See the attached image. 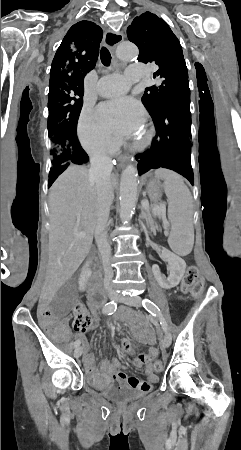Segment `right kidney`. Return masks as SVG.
I'll use <instances>...</instances> for the list:
<instances>
[{
  "label": "right kidney",
  "mask_w": 241,
  "mask_h": 450,
  "mask_svg": "<svg viewBox=\"0 0 241 450\" xmlns=\"http://www.w3.org/2000/svg\"><path fill=\"white\" fill-rule=\"evenodd\" d=\"M91 262H86L84 268H82L81 276L79 278V290H85L86 282L90 278L92 272L90 268Z\"/></svg>",
  "instance_id": "ca27d5eb"
}]
</instances>
